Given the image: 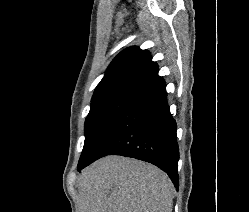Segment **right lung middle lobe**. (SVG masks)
<instances>
[{
	"label": "right lung middle lobe",
	"mask_w": 249,
	"mask_h": 212,
	"mask_svg": "<svg viewBox=\"0 0 249 212\" xmlns=\"http://www.w3.org/2000/svg\"><path fill=\"white\" fill-rule=\"evenodd\" d=\"M138 96L132 93H111L91 100L85 121V143L79 159L80 166L113 120Z\"/></svg>",
	"instance_id": "right-lung-middle-lobe-1"
}]
</instances>
